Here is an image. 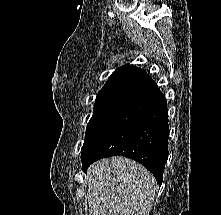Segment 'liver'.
<instances>
[{
    "label": "liver",
    "mask_w": 221,
    "mask_h": 215,
    "mask_svg": "<svg viewBox=\"0 0 221 215\" xmlns=\"http://www.w3.org/2000/svg\"><path fill=\"white\" fill-rule=\"evenodd\" d=\"M89 215H149L158 186L141 164L117 156L87 171Z\"/></svg>",
    "instance_id": "6515ba94"
}]
</instances>
